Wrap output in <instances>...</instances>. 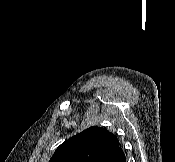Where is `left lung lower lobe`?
Masks as SVG:
<instances>
[{"mask_svg":"<svg viewBox=\"0 0 175 162\" xmlns=\"http://www.w3.org/2000/svg\"><path fill=\"white\" fill-rule=\"evenodd\" d=\"M105 162H126L122 148L119 146L109 155Z\"/></svg>","mask_w":175,"mask_h":162,"instance_id":"left-lung-lower-lobe-1","label":"left lung lower lobe"}]
</instances>
